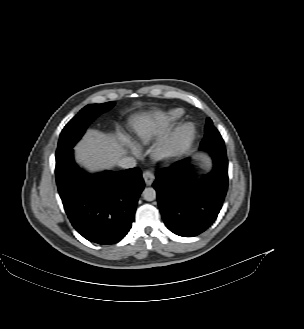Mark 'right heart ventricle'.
I'll list each match as a JSON object with an SVG mask.
<instances>
[{
  "mask_svg": "<svg viewBox=\"0 0 304 329\" xmlns=\"http://www.w3.org/2000/svg\"><path fill=\"white\" fill-rule=\"evenodd\" d=\"M182 115L181 110L174 109L155 116L153 119L135 128L136 139L143 144L151 143L180 120Z\"/></svg>",
  "mask_w": 304,
  "mask_h": 329,
  "instance_id": "1",
  "label": "right heart ventricle"
}]
</instances>
